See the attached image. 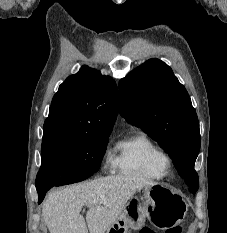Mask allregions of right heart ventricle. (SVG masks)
<instances>
[{
  "label": "right heart ventricle",
  "instance_id": "e07e8e85",
  "mask_svg": "<svg viewBox=\"0 0 227 233\" xmlns=\"http://www.w3.org/2000/svg\"><path fill=\"white\" fill-rule=\"evenodd\" d=\"M167 158L164 150L147 134L137 131L117 142L111 166L123 175L161 180L165 177L162 164Z\"/></svg>",
  "mask_w": 227,
  "mask_h": 233
}]
</instances>
